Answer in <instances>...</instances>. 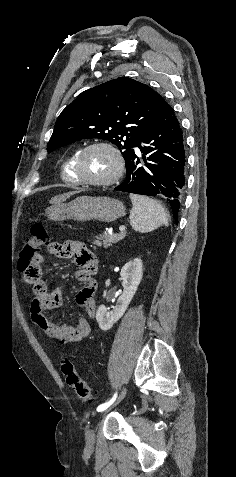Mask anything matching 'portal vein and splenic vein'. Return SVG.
Segmentation results:
<instances>
[{
    "label": "portal vein and splenic vein",
    "mask_w": 236,
    "mask_h": 477,
    "mask_svg": "<svg viewBox=\"0 0 236 477\" xmlns=\"http://www.w3.org/2000/svg\"><path fill=\"white\" fill-rule=\"evenodd\" d=\"M126 230V227L124 225L120 226L119 227V231L120 232H124Z\"/></svg>",
    "instance_id": "obj_1"
}]
</instances>
